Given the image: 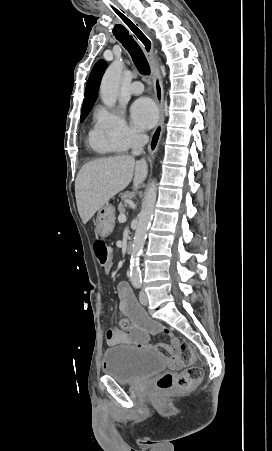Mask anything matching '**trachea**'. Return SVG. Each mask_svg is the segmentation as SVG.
Masks as SVG:
<instances>
[{"instance_id": "1", "label": "trachea", "mask_w": 272, "mask_h": 451, "mask_svg": "<svg viewBox=\"0 0 272 451\" xmlns=\"http://www.w3.org/2000/svg\"><path fill=\"white\" fill-rule=\"evenodd\" d=\"M123 21L126 25L133 31V28H137L134 23H132L129 19L124 18ZM117 29L119 31L114 32L116 39L122 43L123 47L130 53L132 60L137 67V70L142 75H149L150 66L147 62V59L141 50L138 43L133 39L132 35H129L128 30L122 27L121 25H117Z\"/></svg>"}]
</instances>
